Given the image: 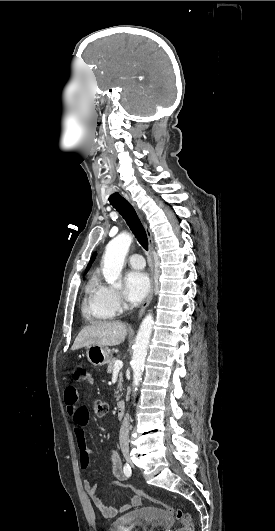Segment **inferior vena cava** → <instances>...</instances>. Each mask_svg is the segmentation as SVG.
I'll return each instance as SVG.
<instances>
[{"mask_svg":"<svg viewBox=\"0 0 275 531\" xmlns=\"http://www.w3.org/2000/svg\"><path fill=\"white\" fill-rule=\"evenodd\" d=\"M121 449H129V415L126 413L119 431Z\"/></svg>","mask_w":275,"mask_h":531,"instance_id":"1","label":"inferior vena cava"}]
</instances>
